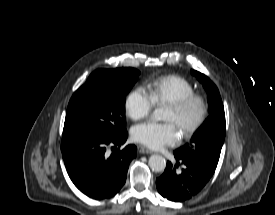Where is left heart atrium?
Here are the masks:
<instances>
[{"label": "left heart atrium", "instance_id": "1", "mask_svg": "<svg viewBox=\"0 0 275 215\" xmlns=\"http://www.w3.org/2000/svg\"><path fill=\"white\" fill-rule=\"evenodd\" d=\"M131 135L136 142L152 149L174 145L179 140L178 128L171 121H148L138 124L132 128Z\"/></svg>", "mask_w": 275, "mask_h": 215}]
</instances>
